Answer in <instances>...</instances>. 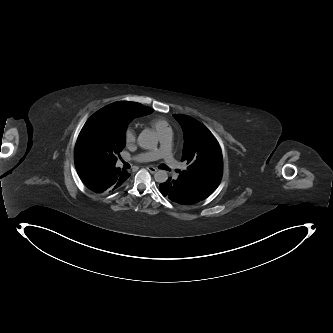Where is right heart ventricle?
I'll use <instances>...</instances> for the list:
<instances>
[{
  "label": "right heart ventricle",
  "mask_w": 333,
  "mask_h": 333,
  "mask_svg": "<svg viewBox=\"0 0 333 333\" xmlns=\"http://www.w3.org/2000/svg\"><path fill=\"white\" fill-rule=\"evenodd\" d=\"M150 124L157 131L159 135L171 130L168 123L160 118L152 119L150 121Z\"/></svg>",
  "instance_id": "right-heart-ventricle-1"
}]
</instances>
